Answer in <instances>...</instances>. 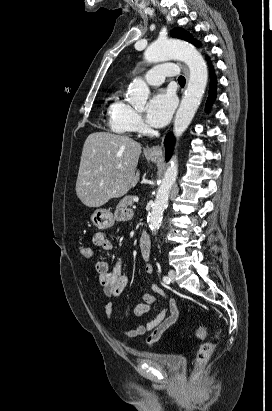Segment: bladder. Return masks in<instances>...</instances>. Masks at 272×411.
Here are the masks:
<instances>
[{
	"label": "bladder",
	"mask_w": 272,
	"mask_h": 411,
	"mask_svg": "<svg viewBox=\"0 0 272 411\" xmlns=\"http://www.w3.org/2000/svg\"><path fill=\"white\" fill-rule=\"evenodd\" d=\"M140 357L153 365L163 367L169 371H177L183 364V357L178 354L143 353Z\"/></svg>",
	"instance_id": "31cf9c89"
}]
</instances>
